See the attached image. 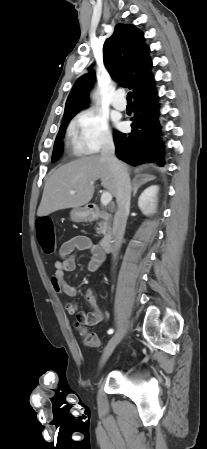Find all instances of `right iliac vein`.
Here are the masks:
<instances>
[{
    "label": "right iliac vein",
    "instance_id": "obj_1",
    "mask_svg": "<svg viewBox=\"0 0 207 449\" xmlns=\"http://www.w3.org/2000/svg\"><path fill=\"white\" fill-rule=\"evenodd\" d=\"M123 336V331L119 330L118 332H116L113 337L110 339V341L108 342L102 359H101V365H103L107 359L110 357V355L112 354V352L114 351L115 347L118 345V343L121 341Z\"/></svg>",
    "mask_w": 207,
    "mask_h": 449
}]
</instances>
